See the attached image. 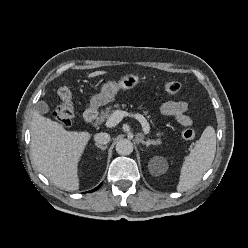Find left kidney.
Returning a JSON list of instances; mask_svg holds the SVG:
<instances>
[{"label": "left kidney", "mask_w": 248, "mask_h": 248, "mask_svg": "<svg viewBox=\"0 0 248 248\" xmlns=\"http://www.w3.org/2000/svg\"><path fill=\"white\" fill-rule=\"evenodd\" d=\"M148 166L152 174L164 173L167 169V162L163 157L155 156L149 161Z\"/></svg>", "instance_id": "left-kidney-1"}]
</instances>
